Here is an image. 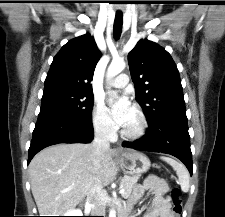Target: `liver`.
Segmentation results:
<instances>
[{
    "instance_id": "1",
    "label": "liver",
    "mask_w": 225,
    "mask_h": 217,
    "mask_svg": "<svg viewBox=\"0 0 225 217\" xmlns=\"http://www.w3.org/2000/svg\"><path fill=\"white\" fill-rule=\"evenodd\" d=\"M93 151V144L61 143L34 156L28 172L40 216H62L75 208L92 188L114 180L116 150H106L99 167L94 164Z\"/></svg>"
}]
</instances>
